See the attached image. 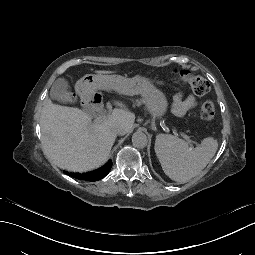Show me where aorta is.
I'll list each match as a JSON object with an SVG mask.
<instances>
[{"label": "aorta", "instance_id": "762f6f07", "mask_svg": "<svg viewBox=\"0 0 255 255\" xmlns=\"http://www.w3.org/2000/svg\"><path fill=\"white\" fill-rule=\"evenodd\" d=\"M148 142L147 136L145 133L141 131H137L132 136L133 146L136 148H144L146 147Z\"/></svg>", "mask_w": 255, "mask_h": 255}]
</instances>
